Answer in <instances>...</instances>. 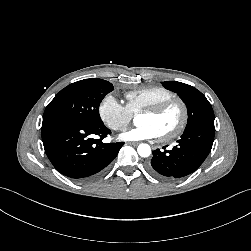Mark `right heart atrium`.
I'll list each match as a JSON object with an SVG mask.
<instances>
[{"label":"right heart atrium","mask_w":251,"mask_h":251,"mask_svg":"<svg viewBox=\"0 0 251 251\" xmlns=\"http://www.w3.org/2000/svg\"><path fill=\"white\" fill-rule=\"evenodd\" d=\"M98 114L102 122L114 131L124 130L132 119V113L127 106L112 95H107L102 99Z\"/></svg>","instance_id":"obj_1"}]
</instances>
